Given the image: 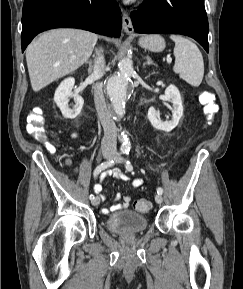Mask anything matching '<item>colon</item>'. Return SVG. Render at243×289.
<instances>
[{"label": "colon", "instance_id": "5ec220e1", "mask_svg": "<svg viewBox=\"0 0 243 289\" xmlns=\"http://www.w3.org/2000/svg\"><path fill=\"white\" fill-rule=\"evenodd\" d=\"M199 101L203 106L207 122L211 123L218 111L214 94L209 91H203L199 94ZM27 121V132L35 139L45 142L48 148L52 150L53 146L46 140V129L42 110L40 108L31 110L28 114ZM134 208L142 213L148 212L151 209V203L145 199H139L134 202Z\"/></svg>", "mask_w": 243, "mask_h": 289}]
</instances>
